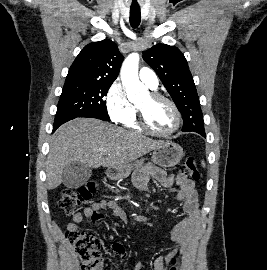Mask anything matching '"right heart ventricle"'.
<instances>
[{
	"mask_svg": "<svg viewBox=\"0 0 267 270\" xmlns=\"http://www.w3.org/2000/svg\"><path fill=\"white\" fill-rule=\"evenodd\" d=\"M124 124L127 128H129L131 130L138 131V132L142 131V128L138 124L136 114L132 118H130L127 122H125Z\"/></svg>",
	"mask_w": 267,
	"mask_h": 270,
	"instance_id": "1",
	"label": "right heart ventricle"
}]
</instances>
